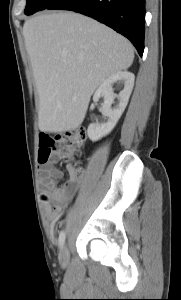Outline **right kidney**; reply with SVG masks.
<instances>
[{"label":"right kidney","instance_id":"right-kidney-1","mask_svg":"<svg viewBox=\"0 0 181 300\" xmlns=\"http://www.w3.org/2000/svg\"><path fill=\"white\" fill-rule=\"evenodd\" d=\"M134 79L135 76L133 73L120 71L105 79L98 87L94 93L93 101L97 102L101 97L104 98L101 112L103 117L107 120L106 122H97L89 125L87 133L91 141H98L102 137L108 135L116 126L129 101L134 86ZM114 83L124 85V88L120 91L119 95L114 94L112 87ZM116 97L118 98L119 103L112 109L111 105Z\"/></svg>","mask_w":181,"mask_h":300}]
</instances>
